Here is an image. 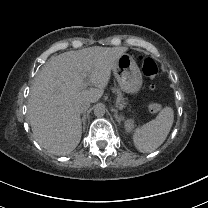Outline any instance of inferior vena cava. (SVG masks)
<instances>
[{
	"label": "inferior vena cava",
	"instance_id": "602c4592",
	"mask_svg": "<svg viewBox=\"0 0 208 208\" xmlns=\"http://www.w3.org/2000/svg\"><path fill=\"white\" fill-rule=\"evenodd\" d=\"M89 106H90V102L88 100L80 99L78 101V104H77L76 108L79 112H85V111H87Z\"/></svg>",
	"mask_w": 208,
	"mask_h": 208
}]
</instances>
